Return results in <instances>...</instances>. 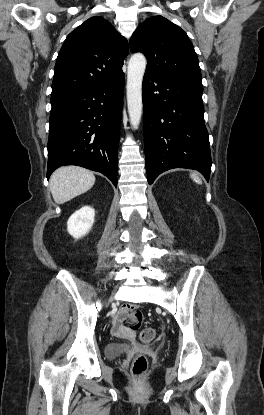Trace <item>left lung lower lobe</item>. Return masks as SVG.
<instances>
[{
	"label": "left lung lower lobe",
	"instance_id": "1",
	"mask_svg": "<svg viewBox=\"0 0 264 415\" xmlns=\"http://www.w3.org/2000/svg\"><path fill=\"white\" fill-rule=\"evenodd\" d=\"M200 84L143 78L144 146L148 183L172 168L201 172L209 180L211 153Z\"/></svg>",
	"mask_w": 264,
	"mask_h": 415
}]
</instances>
